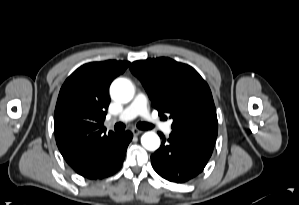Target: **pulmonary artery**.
Listing matches in <instances>:
<instances>
[{
    "mask_svg": "<svg viewBox=\"0 0 299 205\" xmlns=\"http://www.w3.org/2000/svg\"><path fill=\"white\" fill-rule=\"evenodd\" d=\"M147 103V97L143 93L137 94L132 103L129 106H127L119 115L118 120L122 122H127L134 119L137 116H141L150 124L161 125L162 130L166 134H170L172 131V122L169 121L160 124L159 120L150 114Z\"/></svg>",
    "mask_w": 299,
    "mask_h": 205,
    "instance_id": "e3ab8cb5",
    "label": "pulmonary artery"
}]
</instances>
